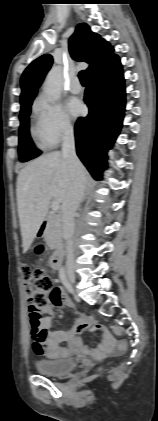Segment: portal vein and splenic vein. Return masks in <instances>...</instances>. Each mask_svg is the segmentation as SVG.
Instances as JSON below:
<instances>
[{
	"mask_svg": "<svg viewBox=\"0 0 158 421\" xmlns=\"http://www.w3.org/2000/svg\"><path fill=\"white\" fill-rule=\"evenodd\" d=\"M51 207H52V210H53V211H58V210H59V208H60V202H58V201H54V202H52Z\"/></svg>",
	"mask_w": 158,
	"mask_h": 421,
	"instance_id": "portal-vein-and-splenic-vein-1",
	"label": "portal vein and splenic vein"
}]
</instances>
